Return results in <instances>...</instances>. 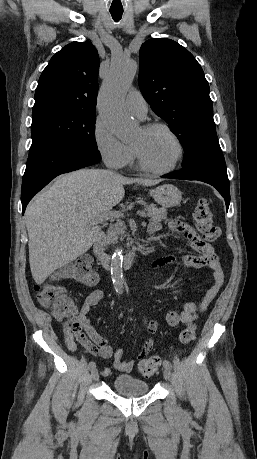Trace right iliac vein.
Instances as JSON below:
<instances>
[{"label": "right iliac vein", "instance_id": "right-iliac-vein-1", "mask_svg": "<svg viewBox=\"0 0 257 459\" xmlns=\"http://www.w3.org/2000/svg\"><path fill=\"white\" fill-rule=\"evenodd\" d=\"M91 377L94 381L98 380L99 379V373H98V370L97 369H94L92 370L91 372Z\"/></svg>", "mask_w": 257, "mask_h": 459}]
</instances>
